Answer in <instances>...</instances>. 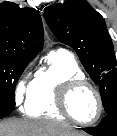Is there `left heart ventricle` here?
I'll use <instances>...</instances> for the list:
<instances>
[{
	"instance_id": "obj_1",
	"label": "left heart ventricle",
	"mask_w": 117,
	"mask_h": 136,
	"mask_svg": "<svg viewBox=\"0 0 117 136\" xmlns=\"http://www.w3.org/2000/svg\"><path fill=\"white\" fill-rule=\"evenodd\" d=\"M71 110L80 120L89 121L94 119L98 111L94 93L87 88L79 90L71 100Z\"/></svg>"
}]
</instances>
